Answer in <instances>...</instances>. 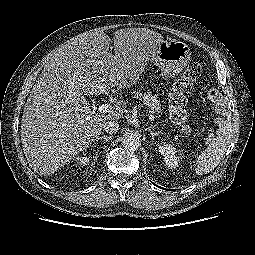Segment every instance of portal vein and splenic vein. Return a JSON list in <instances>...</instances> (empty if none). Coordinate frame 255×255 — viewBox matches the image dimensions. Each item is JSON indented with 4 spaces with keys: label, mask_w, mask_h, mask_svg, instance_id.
Wrapping results in <instances>:
<instances>
[{
    "label": "portal vein and splenic vein",
    "mask_w": 255,
    "mask_h": 255,
    "mask_svg": "<svg viewBox=\"0 0 255 255\" xmlns=\"http://www.w3.org/2000/svg\"><path fill=\"white\" fill-rule=\"evenodd\" d=\"M113 109V106L109 103H105V104H101L99 107H98V111L100 113H110ZM149 120L150 121H154V116H153V111H151V113L149 114Z\"/></svg>",
    "instance_id": "portal-vein-and-splenic-vein-1"
}]
</instances>
